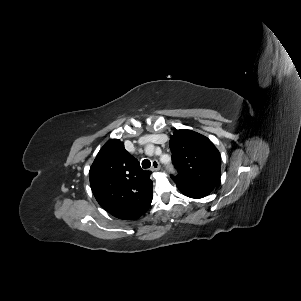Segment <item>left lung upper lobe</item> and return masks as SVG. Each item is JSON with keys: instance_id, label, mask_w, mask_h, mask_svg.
Listing matches in <instances>:
<instances>
[{"instance_id": "5c2ea615", "label": "left lung upper lobe", "mask_w": 301, "mask_h": 301, "mask_svg": "<svg viewBox=\"0 0 301 301\" xmlns=\"http://www.w3.org/2000/svg\"><path fill=\"white\" fill-rule=\"evenodd\" d=\"M169 145L178 189L208 195L220 180L221 157L214 144L192 130H177Z\"/></svg>"}]
</instances>
